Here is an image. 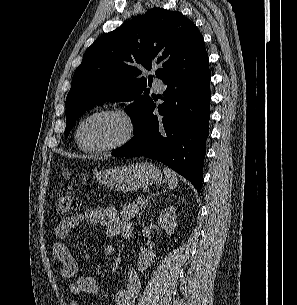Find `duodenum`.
<instances>
[{
	"label": "duodenum",
	"instance_id": "obj_1",
	"mask_svg": "<svg viewBox=\"0 0 297 305\" xmlns=\"http://www.w3.org/2000/svg\"><path fill=\"white\" fill-rule=\"evenodd\" d=\"M132 233H133V230L131 228H128L123 232V237L130 238L132 236Z\"/></svg>",
	"mask_w": 297,
	"mask_h": 305
}]
</instances>
